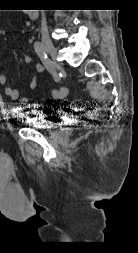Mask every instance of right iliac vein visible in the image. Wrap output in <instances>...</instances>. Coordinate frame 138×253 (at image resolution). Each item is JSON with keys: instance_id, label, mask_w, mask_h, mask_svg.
Wrapping results in <instances>:
<instances>
[{"instance_id": "obj_1", "label": "right iliac vein", "mask_w": 138, "mask_h": 253, "mask_svg": "<svg viewBox=\"0 0 138 253\" xmlns=\"http://www.w3.org/2000/svg\"><path fill=\"white\" fill-rule=\"evenodd\" d=\"M42 44L46 52L51 56L52 59L56 58L57 50L50 38L44 37Z\"/></svg>"}]
</instances>
